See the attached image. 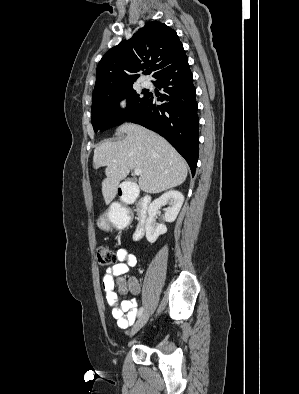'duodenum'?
I'll list each match as a JSON object with an SVG mask.
<instances>
[{
	"label": "duodenum",
	"mask_w": 299,
	"mask_h": 394,
	"mask_svg": "<svg viewBox=\"0 0 299 394\" xmlns=\"http://www.w3.org/2000/svg\"><path fill=\"white\" fill-rule=\"evenodd\" d=\"M117 192L121 196L123 202L130 204L137 200V220L138 224L134 233L135 239H140L145 232V224L147 220V211L151 202L149 195L138 198L132 191L130 185L120 184L117 186Z\"/></svg>",
	"instance_id": "duodenum-1"
}]
</instances>
